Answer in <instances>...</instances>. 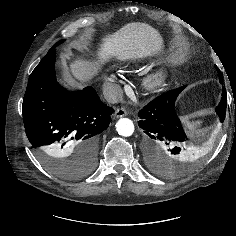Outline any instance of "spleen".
Listing matches in <instances>:
<instances>
[{
	"label": "spleen",
	"mask_w": 236,
	"mask_h": 236,
	"mask_svg": "<svg viewBox=\"0 0 236 236\" xmlns=\"http://www.w3.org/2000/svg\"><path fill=\"white\" fill-rule=\"evenodd\" d=\"M202 124L201 120H197V121H185L184 126L185 128L192 134L196 133L198 130V127H200V125Z\"/></svg>",
	"instance_id": "obj_1"
}]
</instances>
